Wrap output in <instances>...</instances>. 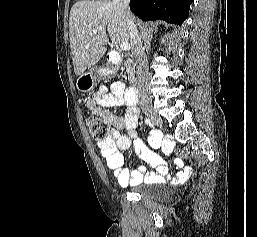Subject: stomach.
I'll return each mask as SVG.
<instances>
[{"label":"stomach","instance_id":"0dacf381","mask_svg":"<svg viewBox=\"0 0 257 237\" xmlns=\"http://www.w3.org/2000/svg\"><path fill=\"white\" fill-rule=\"evenodd\" d=\"M102 74V69H91L82 74L76 81V88L81 92L91 91L95 85L96 78Z\"/></svg>","mask_w":257,"mask_h":237}]
</instances>
